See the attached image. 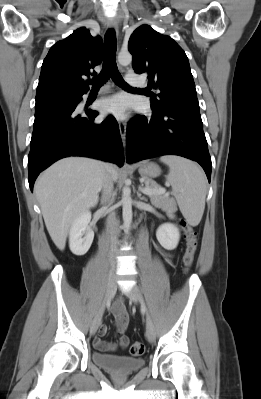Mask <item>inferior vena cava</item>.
Masks as SVG:
<instances>
[{"mask_svg":"<svg viewBox=\"0 0 261 399\" xmlns=\"http://www.w3.org/2000/svg\"><path fill=\"white\" fill-rule=\"evenodd\" d=\"M102 188V204L106 208L110 207L114 201L113 195V179L106 173L101 185ZM109 215L107 217V230L109 234L110 245V264L111 268L116 267V253L118 245V224L114 212L109 208Z\"/></svg>","mask_w":261,"mask_h":399,"instance_id":"602c4592","label":"inferior vena cava"}]
</instances>
